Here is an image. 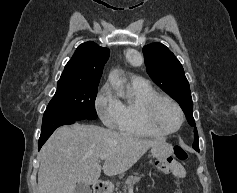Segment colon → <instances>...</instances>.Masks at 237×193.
Returning a JSON list of instances; mask_svg holds the SVG:
<instances>
[{"mask_svg": "<svg viewBox=\"0 0 237 193\" xmlns=\"http://www.w3.org/2000/svg\"><path fill=\"white\" fill-rule=\"evenodd\" d=\"M188 158L187 151L181 147L176 146L173 151V155L166 160L159 162L158 169L160 172L168 173L172 171L173 165L177 162H183Z\"/></svg>", "mask_w": 237, "mask_h": 193, "instance_id": "colon-1", "label": "colon"}]
</instances>
